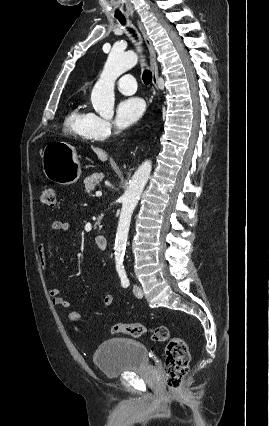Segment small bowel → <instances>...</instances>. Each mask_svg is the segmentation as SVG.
I'll return each mask as SVG.
<instances>
[{
  "label": "small bowel",
  "instance_id": "obj_1",
  "mask_svg": "<svg viewBox=\"0 0 269 426\" xmlns=\"http://www.w3.org/2000/svg\"><path fill=\"white\" fill-rule=\"evenodd\" d=\"M69 229V223L65 221L56 220L51 225V230L54 233H64L68 231ZM38 256L40 260V264L42 268L47 271L49 262H48V256H47V249L45 243H41L38 246ZM49 294L52 298V302L56 307L68 309L70 308L71 304L70 302L64 298L61 294L60 289L58 288H51L49 290ZM103 305L105 307H111L114 302V296L111 293L106 294L102 299ZM68 318L70 321L75 322L79 318V314L76 312H71L68 315Z\"/></svg>",
  "mask_w": 269,
  "mask_h": 426
}]
</instances>
